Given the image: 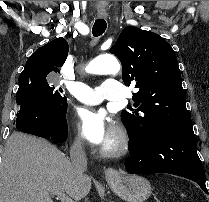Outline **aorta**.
<instances>
[{"label": "aorta", "instance_id": "1", "mask_svg": "<svg viewBox=\"0 0 209 202\" xmlns=\"http://www.w3.org/2000/svg\"><path fill=\"white\" fill-rule=\"evenodd\" d=\"M121 66L116 57L112 55H101L92 60L86 67V72L89 74L116 75L120 72Z\"/></svg>", "mask_w": 209, "mask_h": 202}]
</instances>
